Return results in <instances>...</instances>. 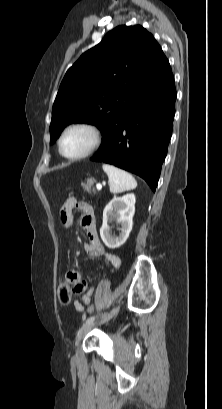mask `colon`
<instances>
[{
  "label": "colon",
  "instance_id": "obj_1",
  "mask_svg": "<svg viewBox=\"0 0 222 409\" xmlns=\"http://www.w3.org/2000/svg\"><path fill=\"white\" fill-rule=\"evenodd\" d=\"M67 273V272H66ZM66 273L64 276L63 281L61 282L59 289H58V299L61 304L67 305L70 303L71 298H72V289L74 288L70 282L65 280ZM78 276V274H77ZM95 307L91 306V304H88V313L92 314L94 313Z\"/></svg>",
  "mask_w": 222,
  "mask_h": 409
}]
</instances>
